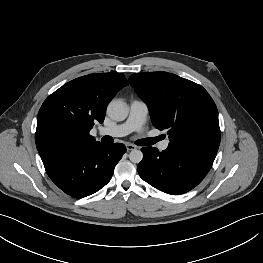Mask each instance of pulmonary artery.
I'll use <instances>...</instances> for the list:
<instances>
[{"label": "pulmonary artery", "instance_id": "pulmonary-artery-1", "mask_svg": "<svg viewBox=\"0 0 263 263\" xmlns=\"http://www.w3.org/2000/svg\"><path fill=\"white\" fill-rule=\"evenodd\" d=\"M148 106L146 102L139 99H133L129 105V114L125 122L111 127L100 128L99 135H108L112 137H123L131 132H140L146 121ZM170 140L166 139L159 144L160 150H166Z\"/></svg>", "mask_w": 263, "mask_h": 263}]
</instances>
